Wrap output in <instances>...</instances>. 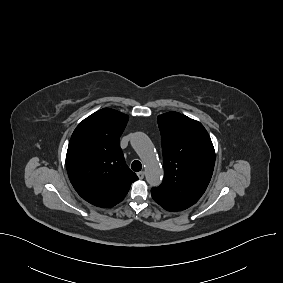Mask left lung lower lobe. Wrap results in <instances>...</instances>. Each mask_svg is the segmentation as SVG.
I'll return each instance as SVG.
<instances>
[{"label": "left lung lower lobe", "mask_w": 283, "mask_h": 283, "mask_svg": "<svg viewBox=\"0 0 283 283\" xmlns=\"http://www.w3.org/2000/svg\"><path fill=\"white\" fill-rule=\"evenodd\" d=\"M152 194V198L160 205L162 206L164 209L168 210V211H173L176 212L177 210H175L174 208L170 207L169 205H167L165 202H163L154 192H151Z\"/></svg>", "instance_id": "0a47b994"}]
</instances>
